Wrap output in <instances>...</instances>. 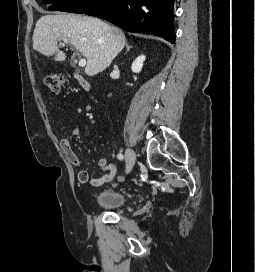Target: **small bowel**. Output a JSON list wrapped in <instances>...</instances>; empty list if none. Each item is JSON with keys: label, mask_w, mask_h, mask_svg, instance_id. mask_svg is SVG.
Listing matches in <instances>:
<instances>
[{"label": "small bowel", "mask_w": 255, "mask_h": 272, "mask_svg": "<svg viewBox=\"0 0 255 272\" xmlns=\"http://www.w3.org/2000/svg\"><path fill=\"white\" fill-rule=\"evenodd\" d=\"M82 133V127L80 125H77L72 128L71 130V135L72 136H77ZM60 147L66 156V158L77 168H80L82 166V160L80 157L76 154V152L72 149L71 142H70V137L66 136L63 137L60 140ZM99 167L101 170H103L105 173L99 177V178H92L89 174V172L85 169H81L78 172V180L82 184H89L94 187H99L102 186L108 182H110L116 172L117 168L114 164L109 163L107 158H101L98 162Z\"/></svg>", "instance_id": "c3829d8e"}]
</instances>
